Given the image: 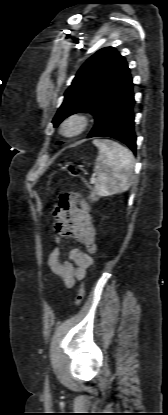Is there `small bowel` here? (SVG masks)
<instances>
[{
    "instance_id": "c3829d8e",
    "label": "small bowel",
    "mask_w": 168,
    "mask_h": 415,
    "mask_svg": "<svg viewBox=\"0 0 168 415\" xmlns=\"http://www.w3.org/2000/svg\"><path fill=\"white\" fill-rule=\"evenodd\" d=\"M53 221L58 234L75 238L85 248V251L72 249L69 253L70 261L61 258L59 246L49 255L48 264L51 271L61 279L65 287L71 288L84 278L92 263L91 255L96 252L95 228L89 205L76 193H63L54 210ZM59 240V237L55 238L57 244Z\"/></svg>"
}]
</instances>
